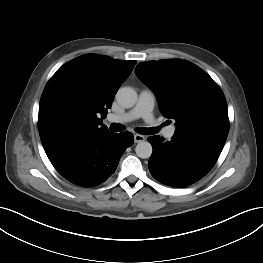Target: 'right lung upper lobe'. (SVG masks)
<instances>
[{
  "mask_svg": "<svg viewBox=\"0 0 263 263\" xmlns=\"http://www.w3.org/2000/svg\"><path fill=\"white\" fill-rule=\"evenodd\" d=\"M136 61L87 54L62 67L47 83L39 104L38 128L48 150L88 133L108 132L101 118Z\"/></svg>",
  "mask_w": 263,
  "mask_h": 263,
  "instance_id": "1",
  "label": "right lung upper lobe"
}]
</instances>
